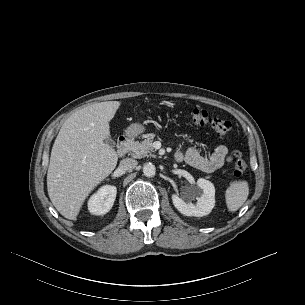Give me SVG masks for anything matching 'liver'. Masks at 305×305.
Returning a JSON list of instances; mask_svg holds the SVG:
<instances>
[{
	"instance_id": "6515ba94",
	"label": "liver",
	"mask_w": 305,
	"mask_h": 305,
	"mask_svg": "<svg viewBox=\"0 0 305 305\" xmlns=\"http://www.w3.org/2000/svg\"><path fill=\"white\" fill-rule=\"evenodd\" d=\"M119 101H106L73 113L62 125L51 151L47 172L48 195L59 213L76 220L92 190L117 165L116 151L104 140Z\"/></svg>"
}]
</instances>
